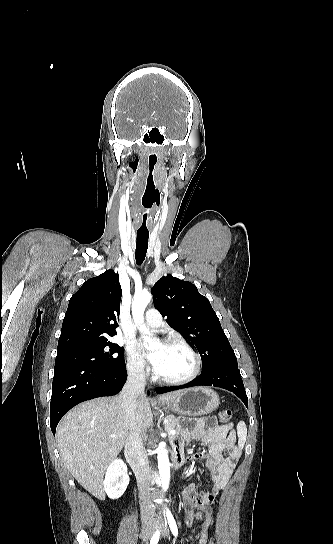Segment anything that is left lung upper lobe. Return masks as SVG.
I'll list each match as a JSON object with an SVG mask.
<instances>
[{
  "instance_id": "1",
  "label": "left lung upper lobe",
  "mask_w": 333,
  "mask_h": 544,
  "mask_svg": "<svg viewBox=\"0 0 333 544\" xmlns=\"http://www.w3.org/2000/svg\"><path fill=\"white\" fill-rule=\"evenodd\" d=\"M152 294L154 306L167 317L166 322L196 346L202 372L215 365L237 364L216 313L195 285L167 275L155 283Z\"/></svg>"
}]
</instances>
